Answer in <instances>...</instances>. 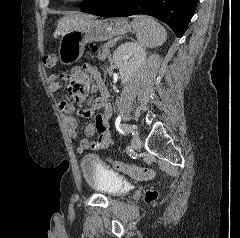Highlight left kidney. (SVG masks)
<instances>
[{
	"label": "left kidney",
	"mask_w": 240,
	"mask_h": 238,
	"mask_svg": "<svg viewBox=\"0 0 240 238\" xmlns=\"http://www.w3.org/2000/svg\"><path fill=\"white\" fill-rule=\"evenodd\" d=\"M146 53L137 42L121 44L113 53V62L119 69V78L125 84L144 63Z\"/></svg>",
	"instance_id": "left-kidney-1"
}]
</instances>
